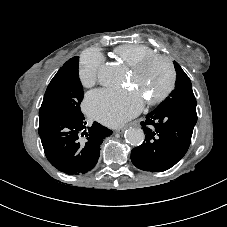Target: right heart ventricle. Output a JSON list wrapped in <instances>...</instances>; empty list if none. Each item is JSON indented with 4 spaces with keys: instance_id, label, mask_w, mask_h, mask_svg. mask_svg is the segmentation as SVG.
I'll use <instances>...</instances> for the list:
<instances>
[{
    "instance_id": "obj_1",
    "label": "right heart ventricle",
    "mask_w": 227,
    "mask_h": 227,
    "mask_svg": "<svg viewBox=\"0 0 227 227\" xmlns=\"http://www.w3.org/2000/svg\"><path fill=\"white\" fill-rule=\"evenodd\" d=\"M113 53L130 67L142 59L156 54L153 49L141 44H123L116 47Z\"/></svg>"
}]
</instances>
